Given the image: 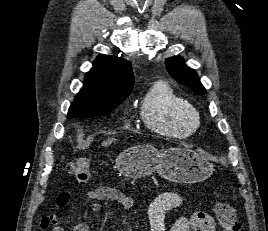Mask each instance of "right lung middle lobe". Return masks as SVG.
<instances>
[{
    "instance_id": "dd1d6c3e",
    "label": "right lung middle lobe",
    "mask_w": 268,
    "mask_h": 231,
    "mask_svg": "<svg viewBox=\"0 0 268 231\" xmlns=\"http://www.w3.org/2000/svg\"><path fill=\"white\" fill-rule=\"evenodd\" d=\"M122 102H101L95 104H78L73 102L68 111V118L102 116L110 113Z\"/></svg>"
}]
</instances>
